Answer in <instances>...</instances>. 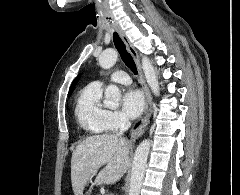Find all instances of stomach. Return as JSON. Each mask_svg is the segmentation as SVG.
<instances>
[{
	"label": "stomach",
	"instance_id": "obj_1",
	"mask_svg": "<svg viewBox=\"0 0 240 195\" xmlns=\"http://www.w3.org/2000/svg\"><path fill=\"white\" fill-rule=\"evenodd\" d=\"M89 193H90V189H86V191H84V189H83L82 195H89Z\"/></svg>",
	"mask_w": 240,
	"mask_h": 195
}]
</instances>
